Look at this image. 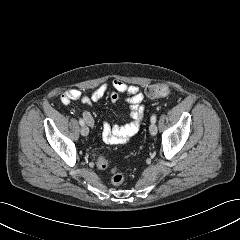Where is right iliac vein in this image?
Here are the masks:
<instances>
[{
    "instance_id": "63e3f726",
    "label": "right iliac vein",
    "mask_w": 240,
    "mask_h": 240,
    "mask_svg": "<svg viewBox=\"0 0 240 240\" xmlns=\"http://www.w3.org/2000/svg\"><path fill=\"white\" fill-rule=\"evenodd\" d=\"M80 132L83 136H87L89 134V128L83 125Z\"/></svg>"
}]
</instances>
